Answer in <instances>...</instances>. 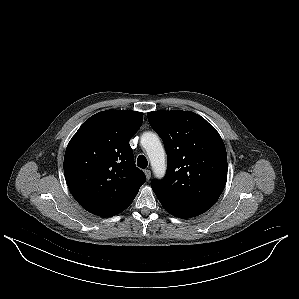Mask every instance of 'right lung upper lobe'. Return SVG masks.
Masks as SVG:
<instances>
[{
  "label": "right lung upper lobe",
  "mask_w": 299,
  "mask_h": 299,
  "mask_svg": "<svg viewBox=\"0 0 299 299\" xmlns=\"http://www.w3.org/2000/svg\"><path fill=\"white\" fill-rule=\"evenodd\" d=\"M143 114L106 110L87 119L70 140L64 175L76 201L87 211L110 217L125 210L146 181L136 167L130 139Z\"/></svg>",
  "instance_id": "right-lung-upper-lobe-1"
}]
</instances>
